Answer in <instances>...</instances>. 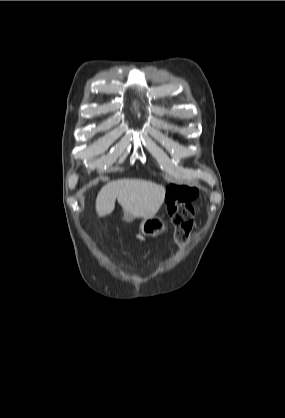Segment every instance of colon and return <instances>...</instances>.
<instances>
[{
    "instance_id": "colon-1",
    "label": "colon",
    "mask_w": 285,
    "mask_h": 418,
    "mask_svg": "<svg viewBox=\"0 0 285 418\" xmlns=\"http://www.w3.org/2000/svg\"><path fill=\"white\" fill-rule=\"evenodd\" d=\"M193 200L192 189L183 186L169 188L168 215L174 226V239L178 245H186L189 242L195 222Z\"/></svg>"
}]
</instances>
